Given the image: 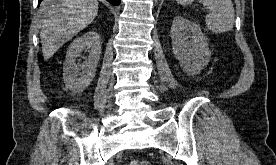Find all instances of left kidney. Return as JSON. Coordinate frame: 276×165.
<instances>
[{
	"mask_svg": "<svg viewBox=\"0 0 276 165\" xmlns=\"http://www.w3.org/2000/svg\"><path fill=\"white\" fill-rule=\"evenodd\" d=\"M171 40L173 53L186 73L199 74L208 65L211 52L198 24L181 16L175 17L171 26Z\"/></svg>",
	"mask_w": 276,
	"mask_h": 165,
	"instance_id": "1",
	"label": "left kidney"
}]
</instances>
